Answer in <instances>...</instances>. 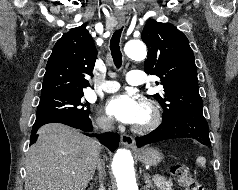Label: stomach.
<instances>
[{
	"instance_id": "0dacf381",
	"label": "stomach",
	"mask_w": 238,
	"mask_h": 190,
	"mask_svg": "<svg viewBox=\"0 0 238 190\" xmlns=\"http://www.w3.org/2000/svg\"><path fill=\"white\" fill-rule=\"evenodd\" d=\"M138 158L145 165L157 166L162 161L163 155L157 149L145 147L139 151Z\"/></svg>"
}]
</instances>
